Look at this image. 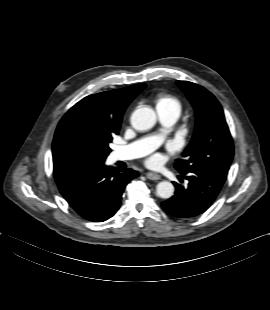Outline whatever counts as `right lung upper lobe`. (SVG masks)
Listing matches in <instances>:
<instances>
[{
  "mask_svg": "<svg viewBox=\"0 0 270 310\" xmlns=\"http://www.w3.org/2000/svg\"><path fill=\"white\" fill-rule=\"evenodd\" d=\"M145 86L136 84L90 95L70 108L55 132L52 144L54 166L80 162L82 151L78 128L84 121H92L99 129L118 133L125 109Z\"/></svg>",
  "mask_w": 270,
  "mask_h": 310,
  "instance_id": "1",
  "label": "right lung upper lobe"
}]
</instances>
